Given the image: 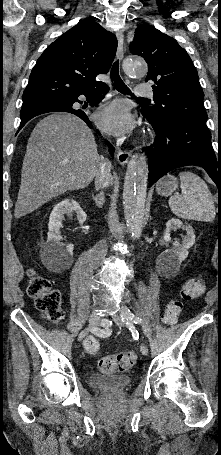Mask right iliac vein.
Listing matches in <instances>:
<instances>
[{
	"label": "right iliac vein",
	"instance_id": "obj_1",
	"mask_svg": "<svg viewBox=\"0 0 221 455\" xmlns=\"http://www.w3.org/2000/svg\"><path fill=\"white\" fill-rule=\"evenodd\" d=\"M99 316L95 313H92L89 316V325L87 328H85L83 331L78 336V340L81 341L88 333L91 331L94 327H96L99 324Z\"/></svg>",
	"mask_w": 221,
	"mask_h": 455
}]
</instances>
